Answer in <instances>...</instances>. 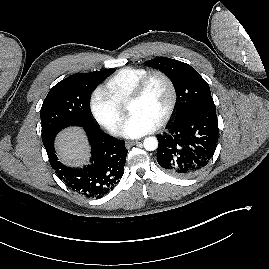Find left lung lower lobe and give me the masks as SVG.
Segmentation results:
<instances>
[{
	"mask_svg": "<svg viewBox=\"0 0 269 269\" xmlns=\"http://www.w3.org/2000/svg\"><path fill=\"white\" fill-rule=\"evenodd\" d=\"M157 139L158 164L175 177H192L204 169L216 150V111L193 112L174 122L170 130Z\"/></svg>",
	"mask_w": 269,
	"mask_h": 269,
	"instance_id": "0a47b994",
	"label": "left lung lower lobe"
}]
</instances>
